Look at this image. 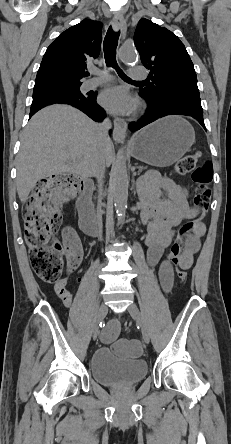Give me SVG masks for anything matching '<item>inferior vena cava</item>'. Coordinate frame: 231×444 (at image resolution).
<instances>
[{
    "label": "inferior vena cava",
    "instance_id": "1",
    "mask_svg": "<svg viewBox=\"0 0 231 444\" xmlns=\"http://www.w3.org/2000/svg\"><path fill=\"white\" fill-rule=\"evenodd\" d=\"M111 121L109 119H105L101 124H99V130H100V135L103 141H106L107 139H109L108 137V129L111 128ZM100 158L98 159V161L95 163L93 170H92V174L94 177L97 178L98 180V184L99 187H101V183H102V178L104 177V173H105V160L103 158V146L101 145L100 147ZM97 194H103L104 190L100 189V190H96L95 191ZM96 203V207L94 208L96 210V216H97V221H98V229L99 231V236H104V231L105 228L102 226L104 224V222L106 221L104 219V217L102 216V212L105 210L104 202H103V198H96L94 200Z\"/></svg>",
    "mask_w": 231,
    "mask_h": 444
}]
</instances>
